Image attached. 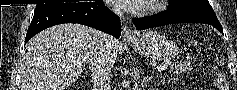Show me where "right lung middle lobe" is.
I'll use <instances>...</instances> for the list:
<instances>
[{
	"label": "right lung middle lobe",
	"instance_id": "obj_1",
	"mask_svg": "<svg viewBox=\"0 0 237 90\" xmlns=\"http://www.w3.org/2000/svg\"><path fill=\"white\" fill-rule=\"evenodd\" d=\"M61 4H66V3H61ZM56 5H60V4H37V6L35 8V11L45 9V8H48V7H53V6H56Z\"/></svg>",
	"mask_w": 237,
	"mask_h": 90
}]
</instances>
